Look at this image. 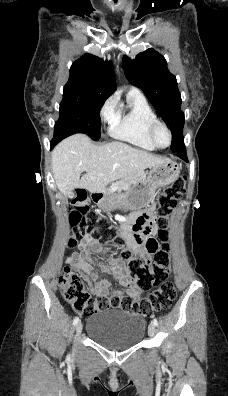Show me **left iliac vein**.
I'll use <instances>...</instances> for the list:
<instances>
[{
	"mask_svg": "<svg viewBox=\"0 0 228 396\" xmlns=\"http://www.w3.org/2000/svg\"><path fill=\"white\" fill-rule=\"evenodd\" d=\"M155 333H156V327H155L154 323H150L149 327H148V334L152 338V337H154Z\"/></svg>",
	"mask_w": 228,
	"mask_h": 396,
	"instance_id": "left-iliac-vein-1",
	"label": "left iliac vein"
}]
</instances>
